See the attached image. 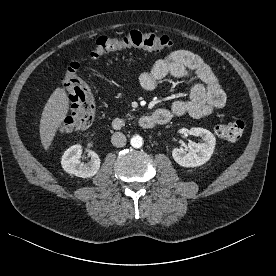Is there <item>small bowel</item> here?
I'll list each match as a JSON object with an SVG mask.
<instances>
[{"label": "small bowel", "instance_id": "obj_1", "mask_svg": "<svg viewBox=\"0 0 276 276\" xmlns=\"http://www.w3.org/2000/svg\"><path fill=\"white\" fill-rule=\"evenodd\" d=\"M190 74L195 76L197 83L192 87L188 98L177 99L170 108L158 110L166 111L170 118L182 115L201 118L225 105L226 95L220 81L209 65L189 50L179 49L157 60L150 71L140 75L139 83L143 89L152 90L166 77L184 78Z\"/></svg>", "mask_w": 276, "mask_h": 276}]
</instances>
